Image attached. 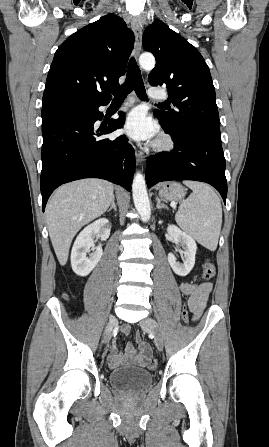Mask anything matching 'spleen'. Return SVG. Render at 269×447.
Returning <instances> with one entry per match:
<instances>
[{
	"mask_svg": "<svg viewBox=\"0 0 269 447\" xmlns=\"http://www.w3.org/2000/svg\"><path fill=\"white\" fill-rule=\"evenodd\" d=\"M183 184L191 188L193 194L180 204L175 220L198 243L215 251L222 224L221 202L216 192L203 182Z\"/></svg>",
	"mask_w": 269,
	"mask_h": 447,
	"instance_id": "spleen-1",
	"label": "spleen"
}]
</instances>
